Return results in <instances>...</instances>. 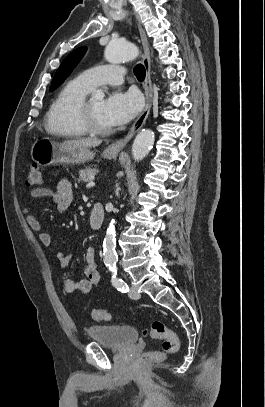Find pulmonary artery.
I'll return each instance as SVG.
<instances>
[{"mask_svg": "<svg viewBox=\"0 0 265 407\" xmlns=\"http://www.w3.org/2000/svg\"><path fill=\"white\" fill-rule=\"evenodd\" d=\"M125 70L121 66L101 65L81 72L77 78L88 88L102 84L119 85L123 82Z\"/></svg>", "mask_w": 265, "mask_h": 407, "instance_id": "pulmonary-artery-1", "label": "pulmonary artery"}]
</instances>
